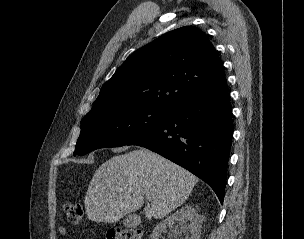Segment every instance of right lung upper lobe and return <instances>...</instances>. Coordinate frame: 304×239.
<instances>
[{
    "label": "right lung upper lobe",
    "instance_id": "obj_1",
    "mask_svg": "<svg viewBox=\"0 0 304 239\" xmlns=\"http://www.w3.org/2000/svg\"><path fill=\"white\" fill-rule=\"evenodd\" d=\"M223 79L222 62L203 31L181 27L129 56L103 84L85 117L138 106L169 111L208 92Z\"/></svg>",
    "mask_w": 304,
    "mask_h": 239
}]
</instances>
